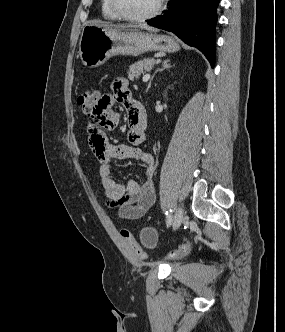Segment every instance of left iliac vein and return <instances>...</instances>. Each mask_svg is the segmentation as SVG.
Wrapping results in <instances>:
<instances>
[{"mask_svg":"<svg viewBox=\"0 0 285 332\" xmlns=\"http://www.w3.org/2000/svg\"><path fill=\"white\" fill-rule=\"evenodd\" d=\"M184 220V213L181 207H178L175 211L173 219V228L178 229Z\"/></svg>","mask_w":285,"mask_h":332,"instance_id":"obj_1","label":"left iliac vein"}]
</instances>
